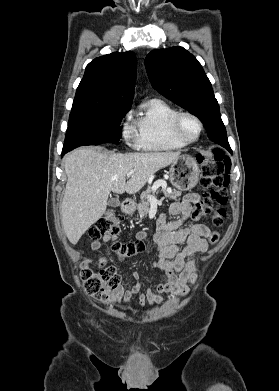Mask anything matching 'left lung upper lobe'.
I'll use <instances>...</instances> for the list:
<instances>
[{"label": "left lung upper lobe", "mask_w": 279, "mask_h": 391, "mask_svg": "<svg viewBox=\"0 0 279 391\" xmlns=\"http://www.w3.org/2000/svg\"><path fill=\"white\" fill-rule=\"evenodd\" d=\"M145 66L154 89L197 116L209 139L230 150L211 83L192 54L182 47L157 49L147 55Z\"/></svg>", "instance_id": "obj_1"}]
</instances>
